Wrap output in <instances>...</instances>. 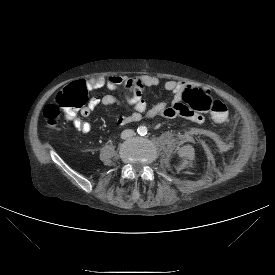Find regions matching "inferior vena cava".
Segmentation results:
<instances>
[{
  "label": "inferior vena cava",
  "instance_id": "602c4592",
  "mask_svg": "<svg viewBox=\"0 0 275 275\" xmlns=\"http://www.w3.org/2000/svg\"><path fill=\"white\" fill-rule=\"evenodd\" d=\"M134 134H135V132L132 129H126V130L122 131L121 138L127 139V138L132 137Z\"/></svg>",
  "mask_w": 275,
  "mask_h": 275
}]
</instances>
